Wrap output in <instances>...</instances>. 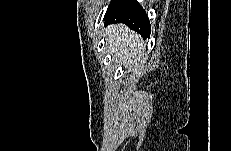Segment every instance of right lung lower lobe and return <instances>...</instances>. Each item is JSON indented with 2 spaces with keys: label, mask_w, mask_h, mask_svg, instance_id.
<instances>
[{
  "label": "right lung lower lobe",
  "mask_w": 231,
  "mask_h": 151,
  "mask_svg": "<svg viewBox=\"0 0 231 151\" xmlns=\"http://www.w3.org/2000/svg\"><path fill=\"white\" fill-rule=\"evenodd\" d=\"M105 24L124 23L143 39L150 37L151 25L146 12L136 0H112L104 17Z\"/></svg>",
  "instance_id": "98d812e1"
}]
</instances>
